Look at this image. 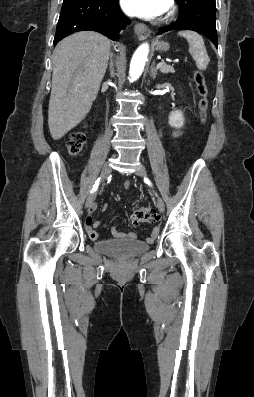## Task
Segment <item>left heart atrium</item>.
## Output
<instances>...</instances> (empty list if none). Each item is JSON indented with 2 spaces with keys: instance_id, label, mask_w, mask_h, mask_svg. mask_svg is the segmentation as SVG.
<instances>
[{
  "instance_id": "obj_1",
  "label": "left heart atrium",
  "mask_w": 254,
  "mask_h": 397,
  "mask_svg": "<svg viewBox=\"0 0 254 397\" xmlns=\"http://www.w3.org/2000/svg\"><path fill=\"white\" fill-rule=\"evenodd\" d=\"M170 4L171 0H121L122 8L127 14L147 19L162 16Z\"/></svg>"
}]
</instances>
